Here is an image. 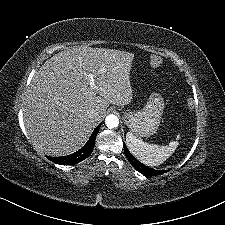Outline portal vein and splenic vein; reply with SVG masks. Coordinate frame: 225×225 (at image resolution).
I'll list each match as a JSON object with an SVG mask.
<instances>
[{"label": "portal vein and splenic vein", "mask_w": 225, "mask_h": 225, "mask_svg": "<svg viewBox=\"0 0 225 225\" xmlns=\"http://www.w3.org/2000/svg\"><path fill=\"white\" fill-rule=\"evenodd\" d=\"M89 79V85L91 88H96L95 82H94V74H88Z\"/></svg>", "instance_id": "obj_1"}]
</instances>
